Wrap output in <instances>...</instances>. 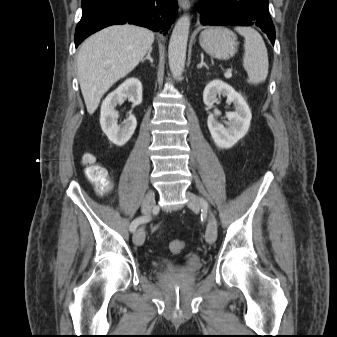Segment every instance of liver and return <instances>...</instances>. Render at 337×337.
Segmentation results:
<instances>
[{
  "label": "liver",
  "mask_w": 337,
  "mask_h": 337,
  "mask_svg": "<svg viewBox=\"0 0 337 337\" xmlns=\"http://www.w3.org/2000/svg\"><path fill=\"white\" fill-rule=\"evenodd\" d=\"M154 33L134 25H115L92 35L77 57L78 79L89 114L104 93L130 73L152 48Z\"/></svg>",
  "instance_id": "obj_1"
}]
</instances>
